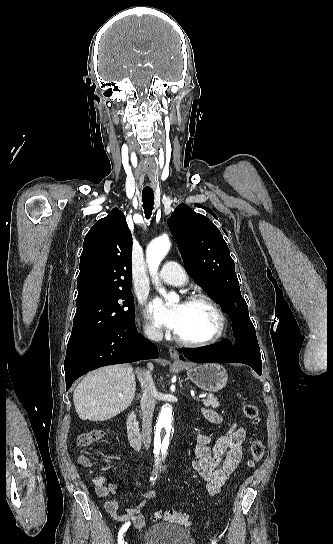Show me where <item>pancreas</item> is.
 <instances>
[{
	"mask_svg": "<svg viewBox=\"0 0 333 544\" xmlns=\"http://www.w3.org/2000/svg\"><path fill=\"white\" fill-rule=\"evenodd\" d=\"M203 404L206 407L211 406L212 408L219 407V402L217 398H215L213 395H209L206 399H203Z\"/></svg>",
	"mask_w": 333,
	"mask_h": 544,
	"instance_id": "pancreas-1",
	"label": "pancreas"
}]
</instances>
